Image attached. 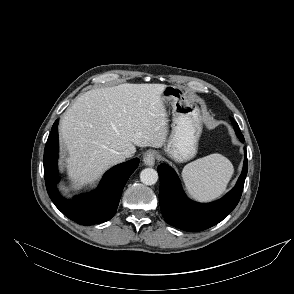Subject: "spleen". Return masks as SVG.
Wrapping results in <instances>:
<instances>
[{"instance_id": "obj_1", "label": "spleen", "mask_w": 294, "mask_h": 294, "mask_svg": "<svg viewBox=\"0 0 294 294\" xmlns=\"http://www.w3.org/2000/svg\"><path fill=\"white\" fill-rule=\"evenodd\" d=\"M234 169L221 154L214 153L187 164L182 178L189 194L198 201H211L222 195Z\"/></svg>"}]
</instances>
